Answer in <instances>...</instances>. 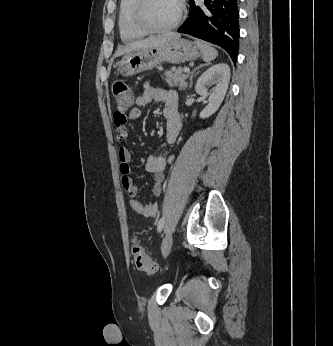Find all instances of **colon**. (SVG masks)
<instances>
[{
	"mask_svg": "<svg viewBox=\"0 0 333 346\" xmlns=\"http://www.w3.org/2000/svg\"><path fill=\"white\" fill-rule=\"evenodd\" d=\"M112 93L117 105V112L114 115L126 119L125 112L132 104V94L127 84L122 81H115L112 85ZM132 256L136 268L147 273H155L158 271V265L151 261L146 254L144 248L139 243L132 246Z\"/></svg>",
	"mask_w": 333,
	"mask_h": 346,
	"instance_id": "obj_1",
	"label": "colon"
}]
</instances>
